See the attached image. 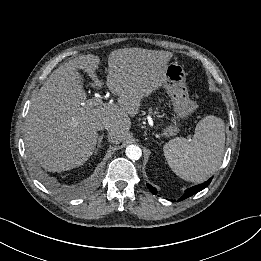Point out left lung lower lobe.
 <instances>
[{
  "mask_svg": "<svg viewBox=\"0 0 261 261\" xmlns=\"http://www.w3.org/2000/svg\"><path fill=\"white\" fill-rule=\"evenodd\" d=\"M211 180H212V178H210L209 180H207L206 182H204L202 184H199V185L186 189L184 195L179 199V201L184 200V199L191 197L192 195L200 192L201 190H203L210 184ZM147 187L153 194H157V190L154 187H152L149 184H147Z\"/></svg>",
  "mask_w": 261,
  "mask_h": 261,
  "instance_id": "0a47b994",
  "label": "left lung lower lobe"
}]
</instances>
